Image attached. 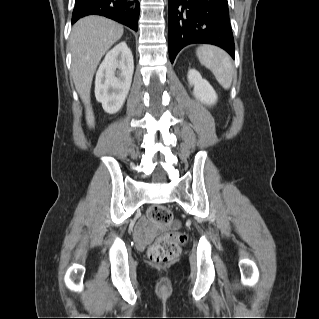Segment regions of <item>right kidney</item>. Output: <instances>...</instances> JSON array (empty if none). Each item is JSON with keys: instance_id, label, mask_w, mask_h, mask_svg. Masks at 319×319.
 I'll return each instance as SVG.
<instances>
[{"instance_id": "ca27d5eb", "label": "right kidney", "mask_w": 319, "mask_h": 319, "mask_svg": "<svg viewBox=\"0 0 319 319\" xmlns=\"http://www.w3.org/2000/svg\"><path fill=\"white\" fill-rule=\"evenodd\" d=\"M134 62L125 42L117 44L105 56L95 79V96L105 112L117 113L130 90Z\"/></svg>"}]
</instances>
